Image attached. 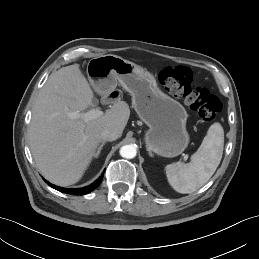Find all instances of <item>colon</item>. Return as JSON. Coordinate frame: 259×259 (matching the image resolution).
Wrapping results in <instances>:
<instances>
[{
	"label": "colon",
	"instance_id": "colon-1",
	"mask_svg": "<svg viewBox=\"0 0 259 259\" xmlns=\"http://www.w3.org/2000/svg\"><path fill=\"white\" fill-rule=\"evenodd\" d=\"M158 80L164 90L184 100L202 120L210 122L220 114V100L206 89L194 86L193 72L188 67H164L159 73Z\"/></svg>",
	"mask_w": 259,
	"mask_h": 259
}]
</instances>
